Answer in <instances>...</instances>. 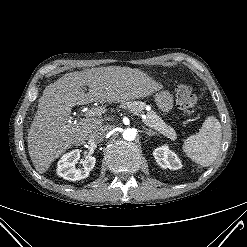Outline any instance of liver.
I'll return each mask as SVG.
<instances>
[{
	"mask_svg": "<svg viewBox=\"0 0 247 247\" xmlns=\"http://www.w3.org/2000/svg\"><path fill=\"white\" fill-rule=\"evenodd\" d=\"M89 88L85 93L83 86ZM160 86L138 69L108 66L65 74L48 85L28 132L30 158L39 173L73 145L83 143L102 126L99 118L71 123L73 106L95 102L123 103L146 97Z\"/></svg>",
	"mask_w": 247,
	"mask_h": 247,
	"instance_id": "1",
	"label": "liver"
}]
</instances>
